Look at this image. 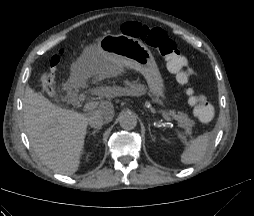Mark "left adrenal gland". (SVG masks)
Segmentation results:
<instances>
[{
	"label": "left adrenal gland",
	"instance_id": "obj_1",
	"mask_svg": "<svg viewBox=\"0 0 254 216\" xmlns=\"http://www.w3.org/2000/svg\"><path fill=\"white\" fill-rule=\"evenodd\" d=\"M148 130H149V134L151 136V138L153 137L152 134H151V129H150V124H148Z\"/></svg>",
	"mask_w": 254,
	"mask_h": 216
}]
</instances>
